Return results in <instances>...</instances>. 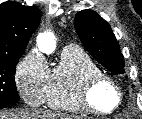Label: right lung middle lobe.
<instances>
[{
  "label": "right lung middle lobe",
  "mask_w": 142,
  "mask_h": 119,
  "mask_svg": "<svg viewBox=\"0 0 142 119\" xmlns=\"http://www.w3.org/2000/svg\"><path fill=\"white\" fill-rule=\"evenodd\" d=\"M21 56L22 54L0 57V109L12 106L20 99L14 75Z\"/></svg>",
  "instance_id": "1"
}]
</instances>
